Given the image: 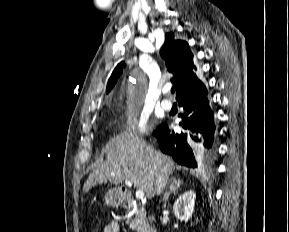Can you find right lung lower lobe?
Here are the masks:
<instances>
[{"mask_svg":"<svg viewBox=\"0 0 289 232\" xmlns=\"http://www.w3.org/2000/svg\"><path fill=\"white\" fill-rule=\"evenodd\" d=\"M184 111L180 125L185 132H170L166 124L154 131L160 149L181 164L196 168L211 157L216 147V124L207 98V90L178 101Z\"/></svg>","mask_w":289,"mask_h":232,"instance_id":"right-lung-lower-lobe-1","label":"right lung lower lobe"}]
</instances>
